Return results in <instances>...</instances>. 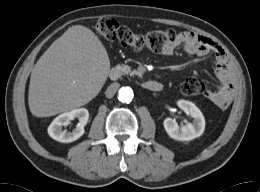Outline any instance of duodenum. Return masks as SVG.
I'll list each match as a JSON object with an SVG mask.
<instances>
[{
  "label": "duodenum",
  "mask_w": 260,
  "mask_h": 192,
  "mask_svg": "<svg viewBox=\"0 0 260 192\" xmlns=\"http://www.w3.org/2000/svg\"><path fill=\"white\" fill-rule=\"evenodd\" d=\"M119 76H120V71L117 68H113L110 70L109 77L111 80H117ZM142 87L151 92H159L163 88L162 84L155 80H148L143 82Z\"/></svg>",
  "instance_id": "1"
}]
</instances>
